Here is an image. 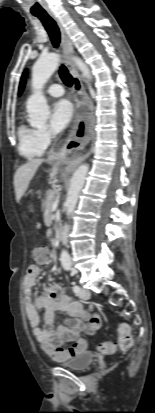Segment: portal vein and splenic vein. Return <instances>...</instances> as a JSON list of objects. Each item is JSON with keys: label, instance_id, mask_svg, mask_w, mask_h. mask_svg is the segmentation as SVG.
Returning <instances> with one entry per match:
<instances>
[{"label": "portal vein and splenic vein", "instance_id": "obj_1", "mask_svg": "<svg viewBox=\"0 0 155 413\" xmlns=\"http://www.w3.org/2000/svg\"><path fill=\"white\" fill-rule=\"evenodd\" d=\"M58 202H59V198L57 197L56 199H55V205H57L58 204Z\"/></svg>", "mask_w": 155, "mask_h": 413}]
</instances>
